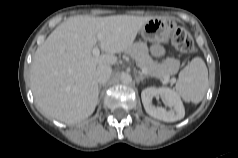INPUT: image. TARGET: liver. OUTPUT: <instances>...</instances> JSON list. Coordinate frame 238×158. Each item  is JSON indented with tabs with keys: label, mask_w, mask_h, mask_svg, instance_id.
<instances>
[{
	"label": "liver",
	"mask_w": 238,
	"mask_h": 158,
	"mask_svg": "<svg viewBox=\"0 0 238 158\" xmlns=\"http://www.w3.org/2000/svg\"><path fill=\"white\" fill-rule=\"evenodd\" d=\"M153 17L74 16L57 26L34 54L31 88L40 110L67 124L88 118L98 104L96 69L117 63L116 53L129 49ZM102 34L103 40L97 35ZM99 45L104 52L94 56Z\"/></svg>",
	"instance_id": "1"
}]
</instances>
